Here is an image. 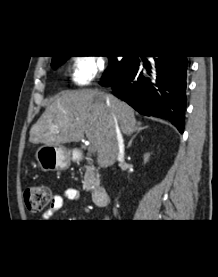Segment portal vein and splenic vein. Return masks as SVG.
I'll use <instances>...</instances> for the list:
<instances>
[{"label": "portal vein and splenic vein", "mask_w": 218, "mask_h": 277, "mask_svg": "<svg viewBox=\"0 0 218 277\" xmlns=\"http://www.w3.org/2000/svg\"><path fill=\"white\" fill-rule=\"evenodd\" d=\"M87 145H89L88 146V151L89 152H91V153L95 152V147L93 145H90L89 143H87Z\"/></svg>", "instance_id": "18ae733b"}]
</instances>
